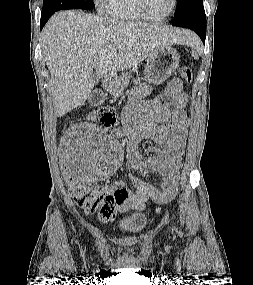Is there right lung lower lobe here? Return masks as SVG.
I'll return each mask as SVG.
<instances>
[{"mask_svg": "<svg viewBox=\"0 0 253 285\" xmlns=\"http://www.w3.org/2000/svg\"><path fill=\"white\" fill-rule=\"evenodd\" d=\"M56 11H48V12H42L41 14V21H40V29L44 27L48 19L55 13Z\"/></svg>", "mask_w": 253, "mask_h": 285, "instance_id": "right-lung-lower-lobe-1", "label": "right lung lower lobe"}]
</instances>
